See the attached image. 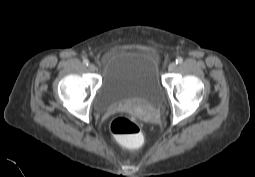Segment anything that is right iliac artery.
Wrapping results in <instances>:
<instances>
[{
    "mask_svg": "<svg viewBox=\"0 0 255 177\" xmlns=\"http://www.w3.org/2000/svg\"><path fill=\"white\" fill-rule=\"evenodd\" d=\"M83 64L87 66V65L89 64L88 59H84V60H83Z\"/></svg>",
    "mask_w": 255,
    "mask_h": 177,
    "instance_id": "82829eb1",
    "label": "right iliac artery"
}]
</instances>
